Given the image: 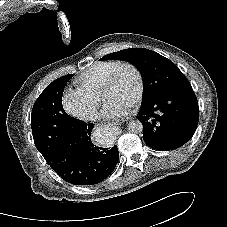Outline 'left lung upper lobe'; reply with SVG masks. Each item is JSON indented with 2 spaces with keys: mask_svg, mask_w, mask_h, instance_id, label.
I'll return each instance as SVG.
<instances>
[{
  "mask_svg": "<svg viewBox=\"0 0 227 227\" xmlns=\"http://www.w3.org/2000/svg\"><path fill=\"white\" fill-rule=\"evenodd\" d=\"M109 59L128 61L140 71L145 85L143 102L191 87L172 61L154 51L145 48L125 49L105 55L100 60Z\"/></svg>",
  "mask_w": 227,
  "mask_h": 227,
  "instance_id": "obj_1",
  "label": "left lung upper lobe"
}]
</instances>
